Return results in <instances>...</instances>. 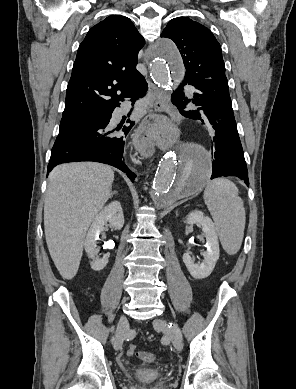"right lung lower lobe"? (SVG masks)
<instances>
[{
	"label": "right lung lower lobe",
	"instance_id": "1",
	"mask_svg": "<svg viewBox=\"0 0 296 389\" xmlns=\"http://www.w3.org/2000/svg\"><path fill=\"white\" fill-rule=\"evenodd\" d=\"M147 89V82L142 76L131 89L128 98H131V101L134 103L135 100L144 96ZM112 112L96 117L95 123L90 126L58 135L51 150L47 174L61 163L95 161L109 164L126 172L127 176L133 181L136 175L123 162L126 137L113 136L105 130ZM127 122L130 123V126L123 128L125 134L134 125V122H131L129 119Z\"/></svg>",
	"mask_w": 296,
	"mask_h": 389
}]
</instances>
